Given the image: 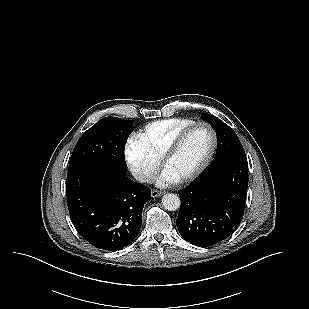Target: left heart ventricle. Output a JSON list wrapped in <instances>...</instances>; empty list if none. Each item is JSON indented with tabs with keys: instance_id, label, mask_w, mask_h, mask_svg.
Masks as SVG:
<instances>
[{
	"instance_id": "obj_1",
	"label": "left heart ventricle",
	"mask_w": 309,
	"mask_h": 309,
	"mask_svg": "<svg viewBox=\"0 0 309 309\" xmlns=\"http://www.w3.org/2000/svg\"><path fill=\"white\" fill-rule=\"evenodd\" d=\"M211 146V134L206 127L194 128L165 169L180 178L195 169L205 158Z\"/></svg>"
}]
</instances>
